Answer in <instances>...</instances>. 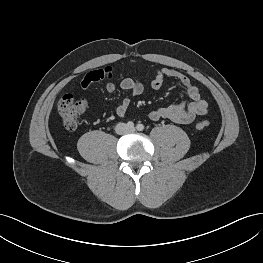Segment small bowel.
Listing matches in <instances>:
<instances>
[{
  "instance_id": "small-bowel-1",
  "label": "small bowel",
  "mask_w": 263,
  "mask_h": 263,
  "mask_svg": "<svg viewBox=\"0 0 263 263\" xmlns=\"http://www.w3.org/2000/svg\"><path fill=\"white\" fill-rule=\"evenodd\" d=\"M114 77V70L111 67H106L99 70L90 71L84 75L80 81V86L83 90H88L93 84L108 79L105 85V90L108 93H113L116 90V85L111 79ZM166 78H171L178 81L185 87L190 102H182L179 104L162 106L150 112L149 117L153 121L170 120L178 124L188 125L201 115H205L208 111L207 102L201 97L200 91L195 86L191 79L174 69L163 68L158 70L151 80V88L158 90L162 87ZM122 90L130 92L132 96L141 95L145 87L141 82L135 81L130 77L124 78L120 82ZM130 105V99L124 98L116 108V115L122 117L126 115Z\"/></svg>"
}]
</instances>
